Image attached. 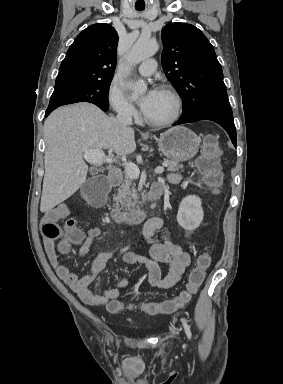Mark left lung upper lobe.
Returning <instances> with one entry per match:
<instances>
[{"instance_id": "obj_1", "label": "left lung upper lobe", "mask_w": 283, "mask_h": 384, "mask_svg": "<svg viewBox=\"0 0 283 384\" xmlns=\"http://www.w3.org/2000/svg\"><path fill=\"white\" fill-rule=\"evenodd\" d=\"M162 66L183 100L180 119L230 108L223 72L213 46L195 26L170 23L162 29Z\"/></svg>"}]
</instances>
